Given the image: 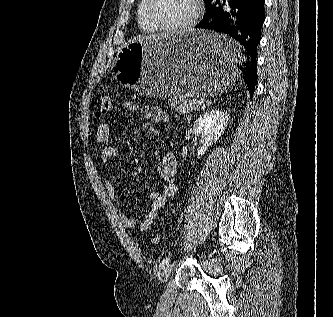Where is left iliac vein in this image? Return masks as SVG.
I'll use <instances>...</instances> for the list:
<instances>
[{"instance_id":"4c4485c4","label":"left iliac vein","mask_w":333,"mask_h":317,"mask_svg":"<svg viewBox=\"0 0 333 317\" xmlns=\"http://www.w3.org/2000/svg\"><path fill=\"white\" fill-rule=\"evenodd\" d=\"M174 263L173 264H168L162 274V281L165 282L168 278V276L170 275V273L172 272L173 268H174Z\"/></svg>"}]
</instances>
